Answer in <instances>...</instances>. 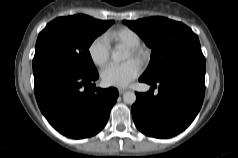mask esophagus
<instances>
[{"label": "esophagus", "instance_id": "34e87169", "mask_svg": "<svg viewBox=\"0 0 238 158\" xmlns=\"http://www.w3.org/2000/svg\"><path fill=\"white\" fill-rule=\"evenodd\" d=\"M126 91H127L126 89H122V88L118 90L119 94H124Z\"/></svg>", "mask_w": 238, "mask_h": 158}]
</instances>
